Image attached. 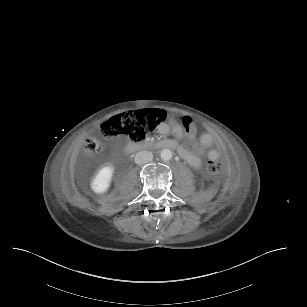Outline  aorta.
I'll return each instance as SVG.
<instances>
[{
    "label": "aorta",
    "instance_id": "obj_1",
    "mask_svg": "<svg viewBox=\"0 0 307 307\" xmlns=\"http://www.w3.org/2000/svg\"><path fill=\"white\" fill-rule=\"evenodd\" d=\"M160 157L164 161L171 160L173 157V153L170 149H162L160 152Z\"/></svg>",
    "mask_w": 307,
    "mask_h": 307
}]
</instances>
